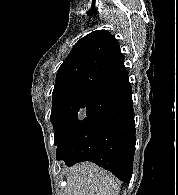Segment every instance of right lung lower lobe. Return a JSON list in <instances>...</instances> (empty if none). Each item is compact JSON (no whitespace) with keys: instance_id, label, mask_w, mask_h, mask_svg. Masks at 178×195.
I'll use <instances>...</instances> for the list:
<instances>
[{"instance_id":"obj_1","label":"right lung lower lobe","mask_w":178,"mask_h":195,"mask_svg":"<svg viewBox=\"0 0 178 195\" xmlns=\"http://www.w3.org/2000/svg\"><path fill=\"white\" fill-rule=\"evenodd\" d=\"M135 125L129 80L96 95L84 117L57 147L67 166L91 161L121 181L132 177Z\"/></svg>"}]
</instances>
